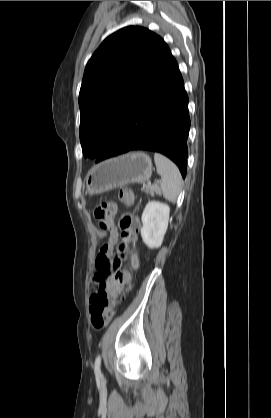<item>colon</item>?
I'll list each match as a JSON object with an SVG mask.
<instances>
[{"instance_id":"obj_1","label":"colon","mask_w":271,"mask_h":418,"mask_svg":"<svg viewBox=\"0 0 271 418\" xmlns=\"http://www.w3.org/2000/svg\"><path fill=\"white\" fill-rule=\"evenodd\" d=\"M119 199L130 205L134 202V195L130 189L122 188L119 191ZM116 211L117 207L113 201H103L95 206L94 218L102 230H113V218ZM119 226L122 230L121 241L118 243L115 255L109 258L108 249L105 247L96 258L95 279L99 283V287L92 294L90 306V322L95 330H101L107 326L112 317L113 304L102 283L111 276H119L127 243L135 239L139 224L130 214H125L120 218ZM116 289L118 292L123 291L121 285H118Z\"/></svg>"}]
</instances>
